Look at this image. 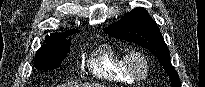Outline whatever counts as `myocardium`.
Returning a JSON list of instances; mask_svg holds the SVG:
<instances>
[{
    "label": "myocardium",
    "mask_w": 205,
    "mask_h": 87,
    "mask_svg": "<svg viewBox=\"0 0 205 87\" xmlns=\"http://www.w3.org/2000/svg\"><path fill=\"white\" fill-rule=\"evenodd\" d=\"M124 66L127 72L136 80L146 78L150 72V61L146 54L139 50H130L124 54ZM140 63L143 69L139 71L136 64Z\"/></svg>",
    "instance_id": "1"
}]
</instances>
